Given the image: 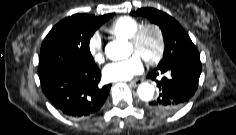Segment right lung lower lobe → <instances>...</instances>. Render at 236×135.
Wrapping results in <instances>:
<instances>
[{
	"instance_id": "obj_1",
	"label": "right lung lower lobe",
	"mask_w": 236,
	"mask_h": 135,
	"mask_svg": "<svg viewBox=\"0 0 236 135\" xmlns=\"http://www.w3.org/2000/svg\"><path fill=\"white\" fill-rule=\"evenodd\" d=\"M39 77L49 101L72 118H85L96 113L111 87L99 85L101 72L97 66L74 58L53 66H40Z\"/></svg>"
}]
</instances>
